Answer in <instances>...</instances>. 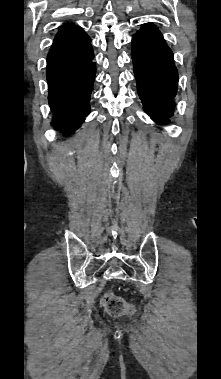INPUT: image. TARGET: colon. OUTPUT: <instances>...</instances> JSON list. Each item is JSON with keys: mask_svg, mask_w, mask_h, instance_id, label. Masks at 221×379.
Wrapping results in <instances>:
<instances>
[{"mask_svg": "<svg viewBox=\"0 0 221 379\" xmlns=\"http://www.w3.org/2000/svg\"><path fill=\"white\" fill-rule=\"evenodd\" d=\"M101 303L108 314L113 317H119L134 311L123 298L115 295L111 291H106L103 294Z\"/></svg>", "mask_w": 221, "mask_h": 379, "instance_id": "5ec220e1", "label": "colon"}]
</instances>
